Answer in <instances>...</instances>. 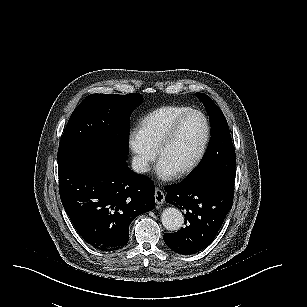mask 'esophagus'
Here are the masks:
<instances>
[{
  "label": "esophagus",
  "instance_id": "34e87169",
  "mask_svg": "<svg viewBox=\"0 0 307 307\" xmlns=\"http://www.w3.org/2000/svg\"><path fill=\"white\" fill-rule=\"evenodd\" d=\"M165 201V194L160 190H155V202L157 205H162Z\"/></svg>",
  "mask_w": 307,
  "mask_h": 307
}]
</instances>
